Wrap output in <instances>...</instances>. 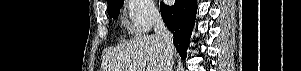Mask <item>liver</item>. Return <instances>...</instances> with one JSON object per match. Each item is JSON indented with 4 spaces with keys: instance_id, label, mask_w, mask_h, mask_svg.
I'll use <instances>...</instances> for the list:
<instances>
[{
    "instance_id": "liver-1",
    "label": "liver",
    "mask_w": 301,
    "mask_h": 71,
    "mask_svg": "<svg viewBox=\"0 0 301 71\" xmlns=\"http://www.w3.org/2000/svg\"><path fill=\"white\" fill-rule=\"evenodd\" d=\"M162 61L161 39L156 35L137 36L106 52L101 71H161Z\"/></svg>"
}]
</instances>
